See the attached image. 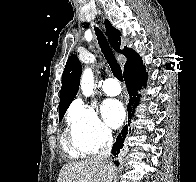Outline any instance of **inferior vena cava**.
<instances>
[{
	"instance_id": "1",
	"label": "inferior vena cava",
	"mask_w": 196,
	"mask_h": 182,
	"mask_svg": "<svg viewBox=\"0 0 196 182\" xmlns=\"http://www.w3.org/2000/svg\"><path fill=\"white\" fill-rule=\"evenodd\" d=\"M113 144V137L110 131H104L101 135V149L100 153L96 156V159L106 160L111 155V149Z\"/></svg>"
}]
</instances>
